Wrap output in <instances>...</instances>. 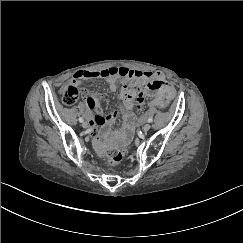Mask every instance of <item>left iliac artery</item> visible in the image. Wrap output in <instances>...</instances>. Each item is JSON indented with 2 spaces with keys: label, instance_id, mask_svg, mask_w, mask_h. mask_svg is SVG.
<instances>
[{
  "label": "left iliac artery",
  "instance_id": "1",
  "mask_svg": "<svg viewBox=\"0 0 243 243\" xmlns=\"http://www.w3.org/2000/svg\"><path fill=\"white\" fill-rule=\"evenodd\" d=\"M153 121V118L152 117H149L148 118V122L151 123Z\"/></svg>",
  "mask_w": 243,
  "mask_h": 243
}]
</instances>
